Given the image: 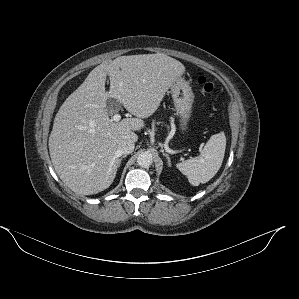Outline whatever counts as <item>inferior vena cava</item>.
Wrapping results in <instances>:
<instances>
[{"label": "inferior vena cava", "mask_w": 299, "mask_h": 299, "mask_svg": "<svg viewBox=\"0 0 299 299\" xmlns=\"http://www.w3.org/2000/svg\"><path fill=\"white\" fill-rule=\"evenodd\" d=\"M135 144L131 139H123L118 144V153L127 155L134 151Z\"/></svg>", "instance_id": "obj_1"}]
</instances>
